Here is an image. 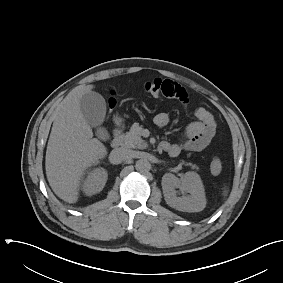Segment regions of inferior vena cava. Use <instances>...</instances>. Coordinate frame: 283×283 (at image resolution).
I'll return each instance as SVG.
<instances>
[{
  "label": "inferior vena cava",
  "mask_w": 283,
  "mask_h": 283,
  "mask_svg": "<svg viewBox=\"0 0 283 283\" xmlns=\"http://www.w3.org/2000/svg\"><path fill=\"white\" fill-rule=\"evenodd\" d=\"M134 152L126 148H117L110 153V162L112 164H120L123 161L129 160L133 157Z\"/></svg>",
  "instance_id": "obj_1"
}]
</instances>
